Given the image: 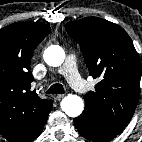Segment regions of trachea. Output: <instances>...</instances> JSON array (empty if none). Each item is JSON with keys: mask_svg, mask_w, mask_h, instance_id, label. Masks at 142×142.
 Masks as SVG:
<instances>
[{"mask_svg": "<svg viewBox=\"0 0 142 142\" xmlns=\"http://www.w3.org/2000/svg\"><path fill=\"white\" fill-rule=\"evenodd\" d=\"M47 94H63L65 93L62 84H53L47 91Z\"/></svg>", "mask_w": 142, "mask_h": 142, "instance_id": "obj_1", "label": "trachea"}]
</instances>
